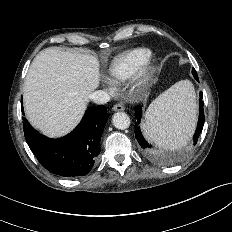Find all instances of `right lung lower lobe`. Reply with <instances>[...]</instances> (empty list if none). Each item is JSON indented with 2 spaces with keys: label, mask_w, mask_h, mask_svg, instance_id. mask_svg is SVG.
<instances>
[{
  "label": "right lung lower lobe",
  "mask_w": 232,
  "mask_h": 232,
  "mask_svg": "<svg viewBox=\"0 0 232 232\" xmlns=\"http://www.w3.org/2000/svg\"><path fill=\"white\" fill-rule=\"evenodd\" d=\"M108 117L105 106L92 107L86 110L70 134L59 139L41 135L23 117L24 135L45 169L64 177L84 176L90 172L100 153V139Z\"/></svg>",
  "instance_id": "98d812e1"
}]
</instances>
